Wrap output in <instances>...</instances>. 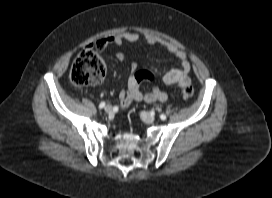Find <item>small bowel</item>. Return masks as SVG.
Here are the masks:
<instances>
[{
    "label": "small bowel",
    "instance_id": "obj_1",
    "mask_svg": "<svg viewBox=\"0 0 272 198\" xmlns=\"http://www.w3.org/2000/svg\"><path fill=\"white\" fill-rule=\"evenodd\" d=\"M140 38L141 36L135 32H124L102 38L93 43L91 47L102 51L111 45L121 46L124 42H135ZM142 39L148 44L160 45L166 52L173 55L180 61V66L178 68L172 69L163 75L162 81L164 84L179 87L190 86L191 81L188 75L190 65L184 51L179 49L174 44L153 35H144L142 36ZM117 58L120 61L126 60V56L122 53H119ZM152 78L153 75L147 76L146 74H140L137 63H132L131 72L127 78V89L121 91L119 95L121 107L123 109L129 108L132 101H144L147 103L166 101L168 98L167 93L158 88H154L147 93H142L140 88L141 82L145 79Z\"/></svg>",
    "mask_w": 272,
    "mask_h": 198
}]
</instances>
